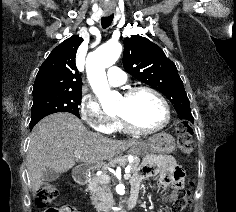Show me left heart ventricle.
Masks as SVG:
<instances>
[{
	"instance_id": "b2bd125f",
	"label": "left heart ventricle",
	"mask_w": 236,
	"mask_h": 212,
	"mask_svg": "<svg viewBox=\"0 0 236 212\" xmlns=\"http://www.w3.org/2000/svg\"><path fill=\"white\" fill-rule=\"evenodd\" d=\"M116 114L127 116L141 128H155L163 123L166 117L161 101L149 92H139L130 99L122 97Z\"/></svg>"
}]
</instances>
